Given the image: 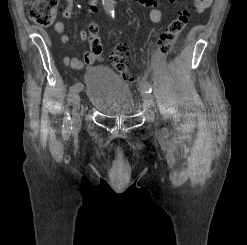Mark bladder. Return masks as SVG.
<instances>
[{"instance_id": "31cf9c89", "label": "bladder", "mask_w": 247, "mask_h": 245, "mask_svg": "<svg viewBox=\"0 0 247 245\" xmlns=\"http://www.w3.org/2000/svg\"><path fill=\"white\" fill-rule=\"evenodd\" d=\"M87 97L92 106L110 116H128L135 112L136 102L129 85L113 70L90 67L85 74Z\"/></svg>"}]
</instances>
